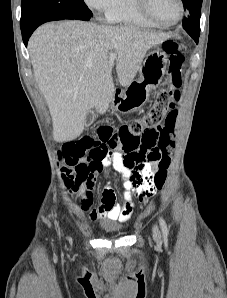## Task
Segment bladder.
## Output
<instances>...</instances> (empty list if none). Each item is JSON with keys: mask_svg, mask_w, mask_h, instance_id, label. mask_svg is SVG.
<instances>
[{"mask_svg": "<svg viewBox=\"0 0 227 298\" xmlns=\"http://www.w3.org/2000/svg\"><path fill=\"white\" fill-rule=\"evenodd\" d=\"M101 229L108 234H120L123 232L124 227L118 223H103Z\"/></svg>", "mask_w": 227, "mask_h": 298, "instance_id": "1", "label": "bladder"}]
</instances>
